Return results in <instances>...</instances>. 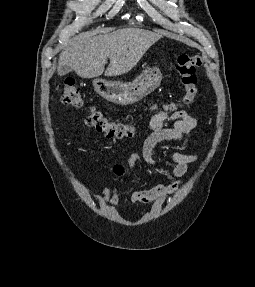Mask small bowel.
Returning <instances> with one entry per match:
<instances>
[{
	"label": "small bowel",
	"mask_w": 255,
	"mask_h": 287,
	"mask_svg": "<svg viewBox=\"0 0 255 287\" xmlns=\"http://www.w3.org/2000/svg\"><path fill=\"white\" fill-rule=\"evenodd\" d=\"M173 121V125L168 127L165 121ZM151 133L146 137L142 146V157L147 164L156 167L157 163L154 158L155 147L164 141L180 140L183 137H190L197 126L195 118L185 111L165 112L159 111L154 114L150 120ZM174 166L168 173L175 178H181L187 172L188 165L199 159L198 155H188L180 152H172L170 154ZM138 158L137 154H132V160ZM112 171L119 180H123L126 175L124 166L113 164ZM180 179L168 184H158L149 189L134 191L131 200L134 203L143 205H155L163 203L171 195L176 193L181 187ZM93 198L100 204H109L117 207L119 204V186L115 185L112 189L104 188L102 194H96Z\"/></svg>",
	"instance_id": "small-bowel-1"
}]
</instances>
